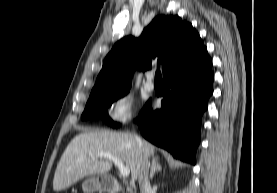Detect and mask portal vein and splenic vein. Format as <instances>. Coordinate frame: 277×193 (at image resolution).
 I'll return each instance as SVG.
<instances>
[{"label":"portal vein and splenic vein","instance_id":"obj_1","mask_svg":"<svg viewBox=\"0 0 277 193\" xmlns=\"http://www.w3.org/2000/svg\"><path fill=\"white\" fill-rule=\"evenodd\" d=\"M93 158H107L111 160L119 169L121 175L123 177H127L130 174V169L126 166H124L123 162L118 159L117 157L113 156L112 154L106 153V152H99L92 156Z\"/></svg>","mask_w":277,"mask_h":193}]
</instances>
